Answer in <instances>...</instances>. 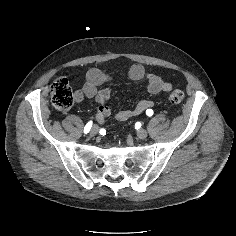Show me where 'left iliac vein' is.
<instances>
[{"instance_id":"left-iliac-vein-1","label":"left iliac vein","mask_w":236,"mask_h":236,"mask_svg":"<svg viewBox=\"0 0 236 236\" xmlns=\"http://www.w3.org/2000/svg\"><path fill=\"white\" fill-rule=\"evenodd\" d=\"M136 135L139 139H146L148 136L147 131L144 129L137 130Z\"/></svg>"}]
</instances>
